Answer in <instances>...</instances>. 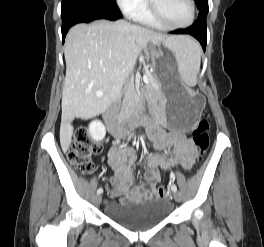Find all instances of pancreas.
I'll return each mask as SVG.
<instances>
[{"mask_svg":"<svg viewBox=\"0 0 264 247\" xmlns=\"http://www.w3.org/2000/svg\"><path fill=\"white\" fill-rule=\"evenodd\" d=\"M149 79V83L145 86L148 100L152 103H156L158 100H161L162 92L160 89V84L158 80L153 77L151 74L145 73ZM135 100V93L132 89H127L124 93L122 105L127 113L131 108Z\"/></svg>","mask_w":264,"mask_h":247,"instance_id":"obj_1","label":"pancreas"}]
</instances>
